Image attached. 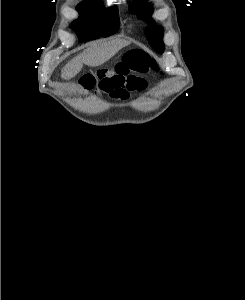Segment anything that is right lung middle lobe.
I'll list each match as a JSON object with an SVG mask.
<instances>
[{"label": "right lung middle lobe", "instance_id": "right-lung-middle-lobe-1", "mask_svg": "<svg viewBox=\"0 0 245 300\" xmlns=\"http://www.w3.org/2000/svg\"><path fill=\"white\" fill-rule=\"evenodd\" d=\"M79 18L71 23V28L78 35L79 42L106 37L119 29V16L116 8L105 9L100 3L83 2L78 5ZM94 24L87 28L85 24Z\"/></svg>", "mask_w": 245, "mask_h": 300}]
</instances>
